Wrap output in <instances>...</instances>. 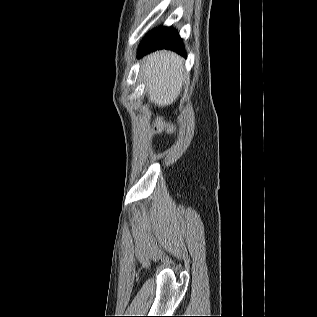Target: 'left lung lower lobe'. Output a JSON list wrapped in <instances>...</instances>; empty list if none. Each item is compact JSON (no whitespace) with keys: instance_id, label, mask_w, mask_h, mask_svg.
Instances as JSON below:
<instances>
[{"instance_id":"0a47b994","label":"left lung lower lobe","mask_w":317,"mask_h":317,"mask_svg":"<svg viewBox=\"0 0 317 317\" xmlns=\"http://www.w3.org/2000/svg\"><path fill=\"white\" fill-rule=\"evenodd\" d=\"M159 49H169L186 57L182 39L171 27H159L148 33L138 50V58Z\"/></svg>"}]
</instances>
